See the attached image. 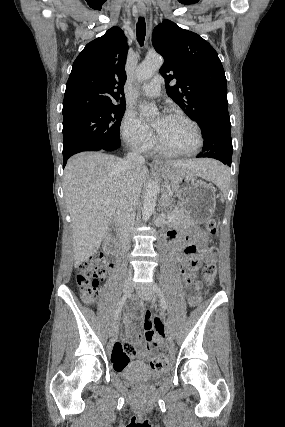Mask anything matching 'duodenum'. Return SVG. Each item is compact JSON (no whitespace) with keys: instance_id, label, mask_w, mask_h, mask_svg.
<instances>
[{"instance_id":"410a0bca","label":"duodenum","mask_w":285,"mask_h":427,"mask_svg":"<svg viewBox=\"0 0 285 427\" xmlns=\"http://www.w3.org/2000/svg\"><path fill=\"white\" fill-rule=\"evenodd\" d=\"M121 227H122V219L121 217H117V219L112 224L113 237L110 241V249H109L110 255L112 258H116L122 249V243L119 236Z\"/></svg>"}]
</instances>
